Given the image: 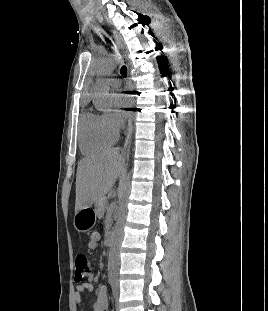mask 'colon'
<instances>
[{
    "label": "colon",
    "instance_id": "colon-1",
    "mask_svg": "<svg viewBox=\"0 0 268 311\" xmlns=\"http://www.w3.org/2000/svg\"><path fill=\"white\" fill-rule=\"evenodd\" d=\"M90 273V264L87 256L79 253L75 257V280L81 281Z\"/></svg>",
    "mask_w": 268,
    "mask_h": 311
}]
</instances>
